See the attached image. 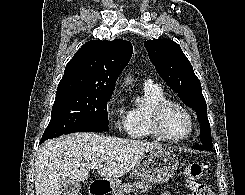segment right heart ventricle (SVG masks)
<instances>
[{
	"label": "right heart ventricle",
	"mask_w": 245,
	"mask_h": 195,
	"mask_svg": "<svg viewBox=\"0 0 245 195\" xmlns=\"http://www.w3.org/2000/svg\"><path fill=\"white\" fill-rule=\"evenodd\" d=\"M145 104L135 106L129 110V131L128 135L133 138L155 137L149 125V114L151 109L167 96L160 86H148L143 88Z\"/></svg>",
	"instance_id": "e07e8e85"
}]
</instances>
